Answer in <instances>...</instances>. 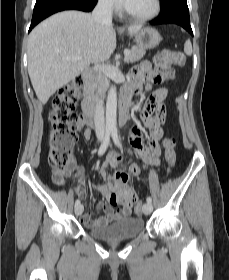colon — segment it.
Here are the masks:
<instances>
[{"instance_id": "colon-1", "label": "colon", "mask_w": 229, "mask_h": 280, "mask_svg": "<svg viewBox=\"0 0 229 280\" xmlns=\"http://www.w3.org/2000/svg\"><path fill=\"white\" fill-rule=\"evenodd\" d=\"M185 55L173 50H162L155 59L154 76L159 83L166 82L174 77L173 65L183 66ZM84 86V80L76 77L72 83L60 88L53 97L50 113V125L47 130V142L49 146V164L55 170L53 180L62 185L65 181V170L71 161L77 130L84 126L82 119L75 112V104L80 97ZM176 141L168 138L164 141L165 158L169 168L176 162ZM110 201L114 203L116 196ZM136 203V198L131 199ZM141 204L136 203L135 212L140 214Z\"/></svg>"}]
</instances>
